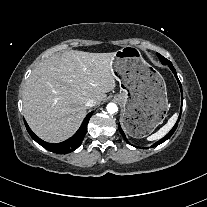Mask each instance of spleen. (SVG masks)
<instances>
[{
  "label": "spleen",
  "mask_w": 207,
  "mask_h": 207,
  "mask_svg": "<svg viewBox=\"0 0 207 207\" xmlns=\"http://www.w3.org/2000/svg\"><path fill=\"white\" fill-rule=\"evenodd\" d=\"M176 120H177V114H174L171 118H169L168 122L163 127H161L156 133L149 136L148 140L153 141L164 137L173 127Z\"/></svg>",
  "instance_id": "3e777b00"
}]
</instances>
